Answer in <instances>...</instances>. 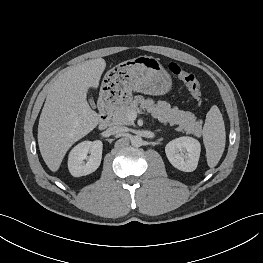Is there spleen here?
<instances>
[{"label": "spleen", "instance_id": "obj_1", "mask_svg": "<svg viewBox=\"0 0 263 263\" xmlns=\"http://www.w3.org/2000/svg\"><path fill=\"white\" fill-rule=\"evenodd\" d=\"M203 142L206 149L207 164L213 168L222 157L226 143L223 117L216 105H213L206 115Z\"/></svg>", "mask_w": 263, "mask_h": 263}]
</instances>
